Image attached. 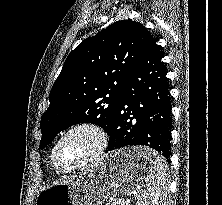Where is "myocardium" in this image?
<instances>
[{"mask_svg":"<svg viewBox=\"0 0 222 205\" xmlns=\"http://www.w3.org/2000/svg\"><path fill=\"white\" fill-rule=\"evenodd\" d=\"M77 131H88L92 133L96 138V145L94 149L76 165L68 168L62 167L57 161L56 157L57 149L64 139H66L69 135ZM107 144H108L107 133L100 125L93 122L76 123L67 128L53 145L51 151L52 163L54 164L55 168L61 173H71L77 171L81 168L86 167L87 165L98 159L103 154L104 150L107 147Z\"/></svg>","mask_w":222,"mask_h":205,"instance_id":"myocardium-1","label":"myocardium"}]
</instances>
